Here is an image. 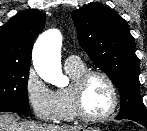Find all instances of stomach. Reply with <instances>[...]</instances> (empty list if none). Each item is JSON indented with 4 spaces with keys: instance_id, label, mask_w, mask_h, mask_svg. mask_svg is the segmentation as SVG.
I'll return each mask as SVG.
<instances>
[{
    "instance_id": "1",
    "label": "stomach",
    "mask_w": 147,
    "mask_h": 131,
    "mask_svg": "<svg viewBox=\"0 0 147 131\" xmlns=\"http://www.w3.org/2000/svg\"><path fill=\"white\" fill-rule=\"evenodd\" d=\"M83 131H101V130L96 127H89V128L83 129Z\"/></svg>"
}]
</instances>
